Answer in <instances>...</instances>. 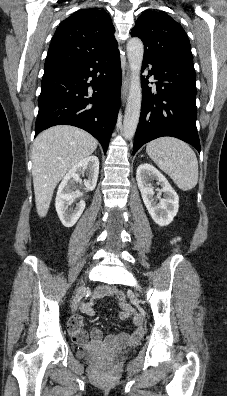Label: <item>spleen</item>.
Listing matches in <instances>:
<instances>
[{
    "label": "spleen",
    "instance_id": "obj_1",
    "mask_svg": "<svg viewBox=\"0 0 227 396\" xmlns=\"http://www.w3.org/2000/svg\"><path fill=\"white\" fill-rule=\"evenodd\" d=\"M146 152L181 190L196 186L198 161L188 144L176 138L162 137L149 142Z\"/></svg>",
    "mask_w": 227,
    "mask_h": 396
}]
</instances>
